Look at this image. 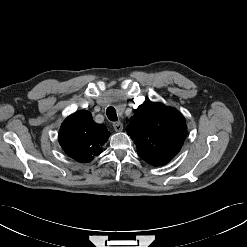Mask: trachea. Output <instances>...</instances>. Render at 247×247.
<instances>
[{"mask_svg":"<svg viewBox=\"0 0 247 247\" xmlns=\"http://www.w3.org/2000/svg\"><path fill=\"white\" fill-rule=\"evenodd\" d=\"M106 114L110 121H117L116 110L113 107H108L106 110Z\"/></svg>","mask_w":247,"mask_h":247,"instance_id":"1","label":"trachea"}]
</instances>
